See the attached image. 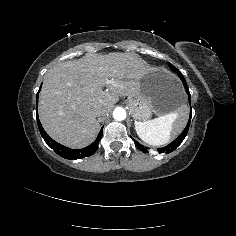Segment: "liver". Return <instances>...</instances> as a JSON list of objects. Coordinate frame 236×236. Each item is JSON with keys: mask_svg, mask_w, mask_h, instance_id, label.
I'll use <instances>...</instances> for the list:
<instances>
[{"mask_svg": "<svg viewBox=\"0 0 236 236\" xmlns=\"http://www.w3.org/2000/svg\"><path fill=\"white\" fill-rule=\"evenodd\" d=\"M148 71L132 53H87L78 60L58 63L45 74L39 94L43 128L67 147L88 146L100 127L93 112L100 109L105 116L119 95L137 96L139 82Z\"/></svg>", "mask_w": 236, "mask_h": 236, "instance_id": "liver-1", "label": "liver"}]
</instances>
